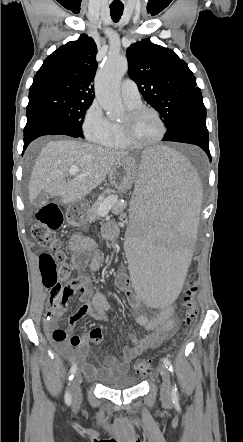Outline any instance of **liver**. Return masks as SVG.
Here are the masks:
<instances>
[{
	"instance_id": "obj_1",
	"label": "liver",
	"mask_w": 243,
	"mask_h": 442,
	"mask_svg": "<svg viewBox=\"0 0 243 442\" xmlns=\"http://www.w3.org/2000/svg\"><path fill=\"white\" fill-rule=\"evenodd\" d=\"M127 157V152L82 141H50L37 157L30 177V202L42 191L60 197L63 204L77 202L99 186L116 163ZM73 166L79 168V174L66 181Z\"/></svg>"
}]
</instances>
